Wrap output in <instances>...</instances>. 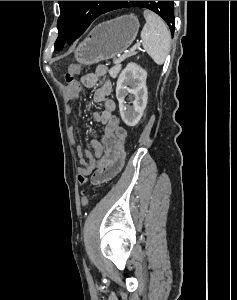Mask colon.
Instances as JSON below:
<instances>
[{"instance_id": "5ec220e1", "label": "colon", "mask_w": 237, "mask_h": 300, "mask_svg": "<svg viewBox=\"0 0 237 300\" xmlns=\"http://www.w3.org/2000/svg\"><path fill=\"white\" fill-rule=\"evenodd\" d=\"M80 69H81V67L79 64H72L69 66L67 74H66V81L69 86L77 87L79 85L76 80V75L79 73ZM87 180H88L87 175L79 172L78 181L81 184H84L85 182H87Z\"/></svg>"}]
</instances>
